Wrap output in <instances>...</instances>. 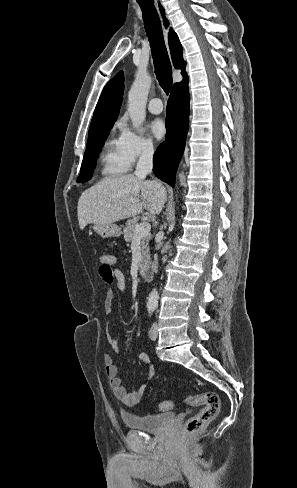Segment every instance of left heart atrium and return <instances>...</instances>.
I'll list each match as a JSON object with an SVG mask.
<instances>
[{"mask_svg": "<svg viewBox=\"0 0 297 488\" xmlns=\"http://www.w3.org/2000/svg\"><path fill=\"white\" fill-rule=\"evenodd\" d=\"M150 128H151V132H152L153 136L156 139L160 140L166 136L167 129H166V125H165L164 121H162L160 119H156L151 123Z\"/></svg>", "mask_w": 297, "mask_h": 488, "instance_id": "left-heart-atrium-1", "label": "left heart atrium"}]
</instances>
